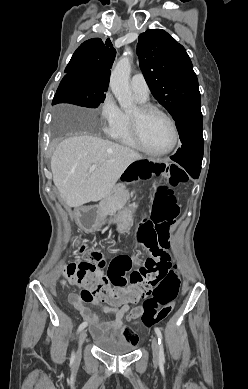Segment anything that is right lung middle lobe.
<instances>
[{
  "label": "right lung middle lobe",
  "instance_id": "dd1d6c3e",
  "mask_svg": "<svg viewBox=\"0 0 248 389\" xmlns=\"http://www.w3.org/2000/svg\"><path fill=\"white\" fill-rule=\"evenodd\" d=\"M107 87L89 83L83 73H67L56 91L52 104L71 103L87 108H97L104 102Z\"/></svg>",
  "mask_w": 248,
  "mask_h": 389
}]
</instances>
